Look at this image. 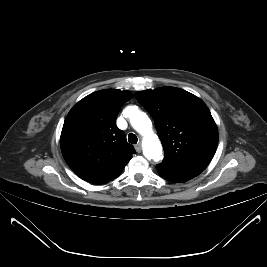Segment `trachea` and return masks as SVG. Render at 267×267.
I'll list each match as a JSON object with an SVG mask.
<instances>
[{
  "mask_svg": "<svg viewBox=\"0 0 267 267\" xmlns=\"http://www.w3.org/2000/svg\"><path fill=\"white\" fill-rule=\"evenodd\" d=\"M128 141H129V143H131V144H136L137 141H138L137 136H136L135 134H133V133H130V134L128 135Z\"/></svg>",
  "mask_w": 267,
  "mask_h": 267,
  "instance_id": "trachea-1",
  "label": "trachea"
}]
</instances>
